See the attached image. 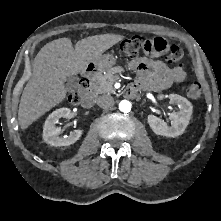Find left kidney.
I'll use <instances>...</instances> for the list:
<instances>
[{"mask_svg": "<svg viewBox=\"0 0 221 221\" xmlns=\"http://www.w3.org/2000/svg\"><path fill=\"white\" fill-rule=\"evenodd\" d=\"M169 99L171 103H175L179 107L178 112L174 111L170 114L171 126L155 115H148V123L155 134L174 138L185 131L192 115L193 106L186 98L177 94H170Z\"/></svg>", "mask_w": 221, "mask_h": 221, "instance_id": "1", "label": "left kidney"}]
</instances>
